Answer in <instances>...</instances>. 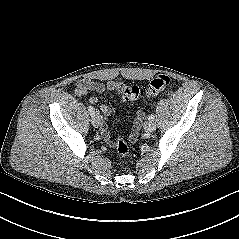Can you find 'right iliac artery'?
<instances>
[{
  "label": "right iliac artery",
  "mask_w": 239,
  "mask_h": 239,
  "mask_svg": "<svg viewBox=\"0 0 239 239\" xmlns=\"http://www.w3.org/2000/svg\"><path fill=\"white\" fill-rule=\"evenodd\" d=\"M88 111L90 112V115L95 114V110H94L93 106H91V105L88 107Z\"/></svg>",
  "instance_id": "obj_1"
}]
</instances>
